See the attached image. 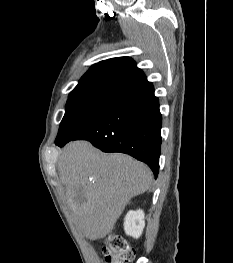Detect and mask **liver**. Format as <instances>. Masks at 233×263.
Masks as SVG:
<instances>
[{
  "label": "liver",
  "mask_w": 233,
  "mask_h": 263,
  "mask_svg": "<svg viewBox=\"0 0 233 263\" xmlns=\"http://www.w3.org/2000/svg\"><path fill=\"white\" fill-rule=\"evenodd\" d=\"M58 174L76 225L89 240L109 234L130 199L149 190L152 182L145 164L125 154H103L87 141L63 148Z\"/></svg>",
  "instance_id": "obj_1"
}]
</instances>
